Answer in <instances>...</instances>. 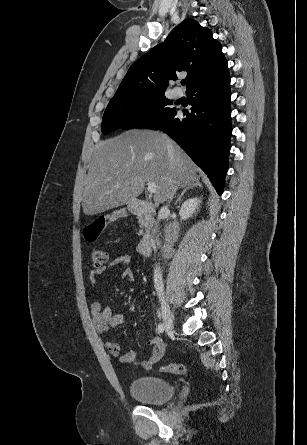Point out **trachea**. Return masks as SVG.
I'll use <instances>...</instances> for the list:
<instances>
[{"label":"trachea","instance_id":"3493384b","mask_svg":"<svg viewBox=\"0 0 307 445\" xmlns=\"http://www.w3.org/2000/svg\"><path fill=\"white\" fill-rule=\"evenodd\" d=\"M181 84L184 86V85H186V81L185 80H182L181 81Z\"/></svg>","mask_w":307,"mask_h":445}]
</instances>
